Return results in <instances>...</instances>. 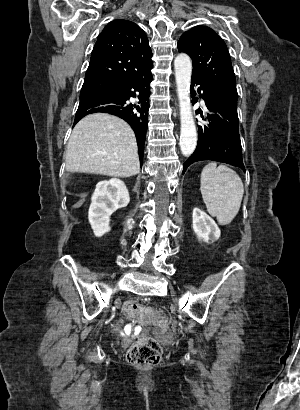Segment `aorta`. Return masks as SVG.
Returning a JSON list of instances; mask_svg holds the SVG:
<instances>
[{"label":"aorta","mask_w":300,"mask_h":410,"mask_svg":"<svg viewBox=\"0 0 300 410\" xmlns=\"http://www.w3.org/2000/svg\"><path fill=\"white\" fill-rule=\"evenodd\" d=\"M175 79L180 106V148L184 156H190L197 145L196 126L190 103V83L192 62L185 53H180L174 60Z\"/></svg>","instance_id":"obj_1"}]
</instances>
